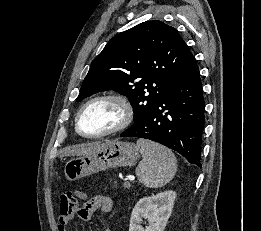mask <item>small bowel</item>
<instances>
[{"label": "small bowel", "mask_w": 261, "mask_h": 231, "mask_svg": "<svg viewBox=\"0 0 261 231\" xmlns=\"http://www.w3.org/2000/svg\"><path fill=\"white\" fill-rule=\"evenodd\" d=\"M80 197L86 199L87 195L80 192ZM112 210V200L108 196L97 195L92 198L87 199L83 206L77 211L78 217L83 221H89L91 216L96 212L109 213ZM69 219L59 216L58 217V231H66L65 225L68 223ZM105 231H112L110 229H105Z\"/></svg>", "instance_id": "c3829d8e"}]
</instances>
